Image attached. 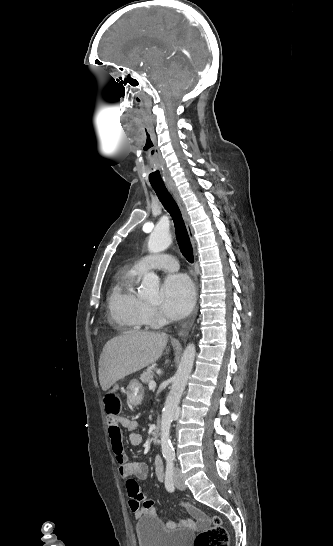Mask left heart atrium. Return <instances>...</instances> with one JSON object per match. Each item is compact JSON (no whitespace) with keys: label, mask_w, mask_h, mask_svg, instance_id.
Returning <instances> with one entry per match:
<instances>
[{"label":"left heart atrium","mask_w":333,"mask_h":546,"mask_svg":"<svg viewBox=\"0 0 333 546\" xmlns=\"http://www.w3.org/2000/svg\"><path fill=\"white\" fill-rule=\"evenodd\" d=\"M161 296L164 313L172 319H179L187 315L193 306L194 287L187 276L172 274L165 279Z\"/></svg>","instance_id":"39dd6f15"}]
</instances>
